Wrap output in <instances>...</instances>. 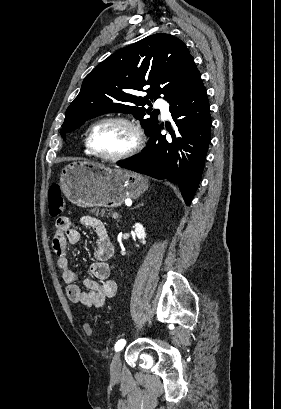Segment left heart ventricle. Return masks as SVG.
<instances>
[{"label":"left heart ventricle","mask_w":281,"mask_h":409,"mask_svg":"<svg viewBox=\"0 0 281 409\" xmlns=\"http://www.w3.org/2000/svg\"><path fill=\"white\" fill-rule=\"evenodd\" d=\"M135 140L134 133L120 123L100 127L95 135V148L102 155H118L127 150Z\"/></svg>","instance_id":"1"}]
</instances>
